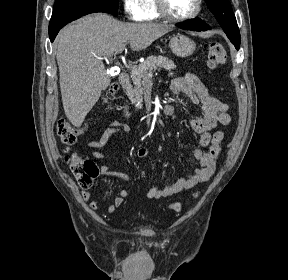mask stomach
Returning a JSON list of instances; mask_svg holds the SVG:
<instances>
[{
	"label": "stomach",
	"instance_id": "stomach-1",
	"mask_svg": "<svg viewBox=\"0 0 288 280\" xmlns=\"http://www.w3.org/2000/svg\"><path fill=\"white\" fill-rule=\"evenodd\" d=\"M169 47L176 56L188 57L195 51L196 44L185 35L177 34L170 38Z\"/></svg>",
	"mask_w": 288,
	"mask_h": 280
}]
</instances>
